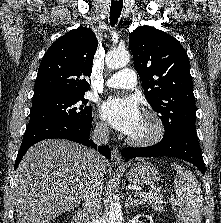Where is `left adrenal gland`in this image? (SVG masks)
Segmentation results:
<instances>
[{
  "label": "left adrenal gland",
  "mask_w": 221,
  "mask_h": 223,
  "mask_svg": "<svg viewBox=\"0 0 221 223\" xmlns=\"http://www.w3.org/2000/svg\"><path fill=\"white\" fill-rule=\"evenodd\" d=\"M128 201L130 206H132V208H135L136 206H139L142 204V201L138 200V199H134L131 195L128 197Z\"/></svg>",
  "instance_id": "obj_1"
}]
</instances>
